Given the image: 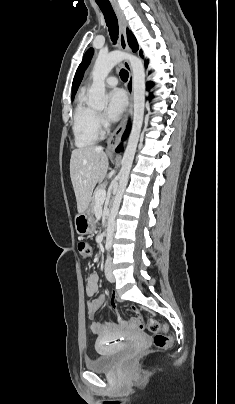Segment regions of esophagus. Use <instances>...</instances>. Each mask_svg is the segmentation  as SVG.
I'll return each instance as SVG.
<instances>
[{"label":"esophagus","mask_w":235,"mask_h":404,"mask_svg":"<svg viewBox=\"0 0 235 404\" xmlns=\"http://www.w3.org/2000/svg\"><path fill=\"white\" fill-rule=\"evenodd\" d=\"M112 6L116 13V16L118 18V23H119V46L122 51L129 52L130 48H129V44L127 41V32H126L127 21H126L125 15L117 3H113ZM123 65L129 73L128 81L126 84V90H127L128 100H129L128 107H127L126 113L123 116L121 122L118 124L116 129L111 133V135L109 137L108 145H107L108 153H113L115 151L116 147L118 146V144L121 140V137L126 129L128 118H129V115L132 110L133 72H132L131 65L127 59L124 60Z\"/></svg>","instance_id":"obj_1"}]
</instances>
